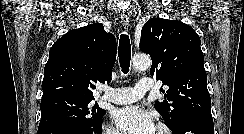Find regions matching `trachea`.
<instances>
[{"label": "trachea", "mask_w": 244, "mask_h": 134, "mask_svg": "<svg viewBox=\"0 0 244 134\" xmlns=\"http://www.w3.org/2000/svg\"><path fill=\"white\" fill-rule=\"evenodd\" d=\"M118 57L122 72L127 74L129 72L131 60V44L127 34H121L118 47Z\"/></svg>", "instance_id": "3493384b"}]
</instances>
